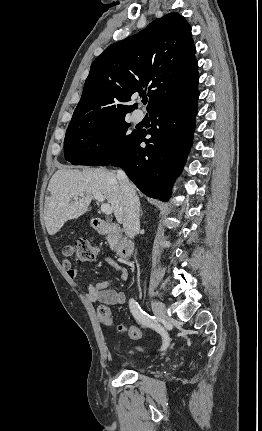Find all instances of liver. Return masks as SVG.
<instances>
[{
    "label": "liver",
    "mask_w": 262,
    "mask_h": 431,
    "mask_svg": "<svg viewBox=\"0 0 262 431\" xmlns=\"http://www.w3.org/2000/svg\"><path fill=\"white\" fill-rule=\"evenodd\" d=\"M48 190L51 196L45 201L44 221L50 235L56 234L68 220L88 212L95 192L111 204L118 223L123 222L124 192L115 173L107 169H59ZM81 193L84 195L79 196Z\"/></svg>",
    "instance_id": "obj_1"
}]
</instances>
